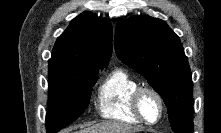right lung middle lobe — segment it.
<instances>
[{
	"instance_id": "1",
	"label": "right lung middle lobe",
	"mask_w": 221,
	"mask_h": 133,
	"mask_svg": "<svg viewBox=\"0 0 221 133\" xmlns=\"http://www.w3.org/2000/svg\"><path fill=\"white\" fill-rule=\"evenodd\" d=\"M107 63L76 66L49 74L47 133H56L75 121L88 107L100 68Z\"/></svg>"
}]
</instances>
